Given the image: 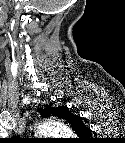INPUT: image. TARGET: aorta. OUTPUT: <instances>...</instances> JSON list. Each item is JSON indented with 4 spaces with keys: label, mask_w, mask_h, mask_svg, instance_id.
Segmentation results:
<instances>
[{
    "label": "aorta",
    "mask_w": 125,
    "mask_h": 143,
    "mask_svg": "<svg viewBox=\"0 0 125 143\" xmlns=\"http://www.w3.org/2000/svg\"><path fill=\"white\" fill-rule=\"evenodd\" d=\"M37 133L43 136H51L53 134H71L70 129L62 122H44L38 126Z\"/></svg>",
    "instance_id": "1"
}]
</instances>
